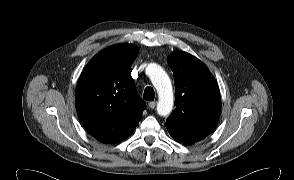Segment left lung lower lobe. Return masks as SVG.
I'll return each instance as SVG.
<instances>
[{"label": "left lung lower lobe", "instance_id": "obj_1", "mask_svg": "<svg viewBox=\"0 0 294 180\" xmlns=\"http://www.w3.org/2000/svg\"><path fill=\"white\" fill-rule=\"evenodd\" d=\"M169 134L178 142L183 143L185 145H192L195 144L196 142L204 139V136H193V135H187V134H182L178 132H174L171 130H168Z\"/></svg>", "mask_w": 294, "mask_h": 180}]
</instances>
